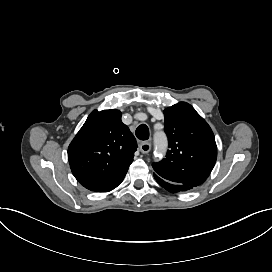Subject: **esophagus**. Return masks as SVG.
Segmentation results:
<instances>
[{
	"label": "esophagus",
	"mask_w": 272,
	"mask_h": 272,
	"mask_svg": "<svg viewBox=\"0 0 272 272\" xmlns=\"http://www.w3.org/2000/svg\"><path fill=\"white\" fill-rule=\"evenodd\" d=\"M140 150L142 153H148L151 150V144L150 143H142L140 145Z\"/></svg>",
	"instance_id": "esophagus-1"
}]
</instances>
